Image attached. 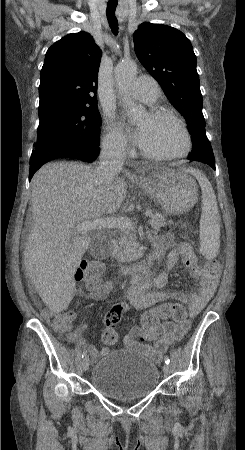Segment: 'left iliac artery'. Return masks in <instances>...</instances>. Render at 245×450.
Returning <instances> with one entry per match:
<instances>
[{
	"mask_svg": "<svg viewBox=\"0 0 245 450\" xmlns=\"http://www.w3.org/2000/svg\"><path fill=\"white\" fill-rule=\"evenodd\" d=\"M165 363H166V364H169V363H170V359H169L168 356H165Z\"/></svg>",
	"mask_w": 245,
	"mask_h": 450,
	"instance_id": "obj_1",
	"label": "left iliac artery"
}]
</instances>
